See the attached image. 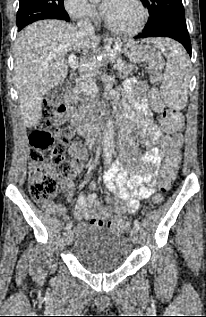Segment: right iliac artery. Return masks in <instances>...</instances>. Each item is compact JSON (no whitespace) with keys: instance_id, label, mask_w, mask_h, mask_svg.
Here are the masks:
<instances>
[{"instance_id":"1","label":"right iliac artery","mask_w":206,"mask_h":317,"mask_svg":"<svg viewBox=\"0 0 206 317\" xmlns=\"http://www.w3.org/2000/svg\"><path fill=\"white\" fill-rule=\"evenodd\" d=\"M71 228H72V223L69 222V223L66 225V229H67V230H70Z\"/></svg>"}]
</instances>
